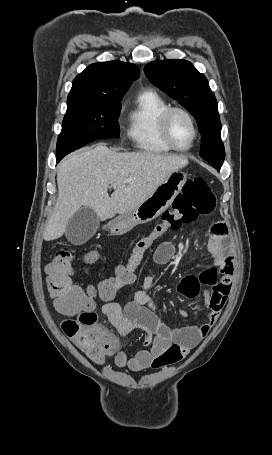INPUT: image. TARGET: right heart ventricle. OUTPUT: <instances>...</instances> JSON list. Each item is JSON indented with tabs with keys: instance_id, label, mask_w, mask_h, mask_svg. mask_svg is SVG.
Masks as SVG:
<instances>
[{
	"instance_id": "e07e8e85",
	"label": "right heart ventricle",
	"mask_w": 272,
	"mask_h": 455,
	"mask_svg": "<svg viewBox=\"0 0 272 455\" xmlns=\"http://www.w3.org/2000/svg\"><path fill=\"white\" fill-rule=\"evenodd\" d=\"M168 107L155 91L145 90L137 96L127 122V136L137 150L151 154L172 151L163 141L159 129V118Z\"/></svg>"
}]
</instances>
